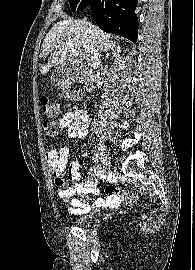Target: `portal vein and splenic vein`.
<instances>
[{"label":"portal vein and splenic vein","instance_id":"18ae733b","mask_svg":"<svg viewBox=\"0 0 195 270\" xmlns=\"http://www.w3.org/2000/svg\"><path fill=\"white\" fill-rule=\"evenodd\" d=\"M70 53H71L72 56L78 57V51L77 50L72 49V50H70Z\"/></svg>","mask_w":195,"mask_h":270}]
</instances>
